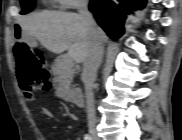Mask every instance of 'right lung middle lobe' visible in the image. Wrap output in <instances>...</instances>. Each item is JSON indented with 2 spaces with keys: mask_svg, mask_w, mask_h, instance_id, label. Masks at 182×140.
<instances>
[{
  "mask_svg": "<svg viewBox=\"0 0 182 140\" xmlns=\"http://www.w3.org/2000/svg\"><path fill=\"white\" fill-rule=\"evenodd\" d=\"M35 5V0H22L21 1V6H22V11L21 14H26L30 12Z\"/></svg>",
  "mask_w": 182,
  "mask_h": 140,
  "instance_id": "1",
  "label": "right lung middle lobe"
}]
</instances>
